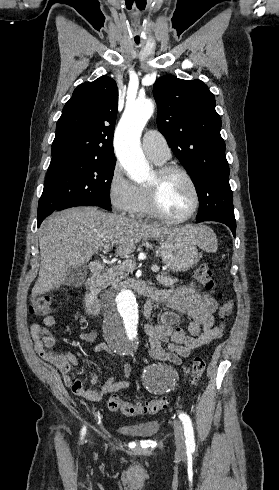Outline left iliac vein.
Wrapping results in <instances>:
<instances>
[{
  "mask_svg": "<svg viewBox=\"0 0 279 490\" xmlns=\"http://www.w3.org/2000/svg\"><path fill=\"white\" fill-rule=\"evenodd\" d=\"M173 427H174L176 450L180 454L185 453L186 451L185 438H184L183 427L180 421L174 420Z\"/></svg>",
  "mask_w": 279,
  "mask_h": 490,
  "instance_id": "1",
  "label": "left iliac vein"
}]
</instances>
